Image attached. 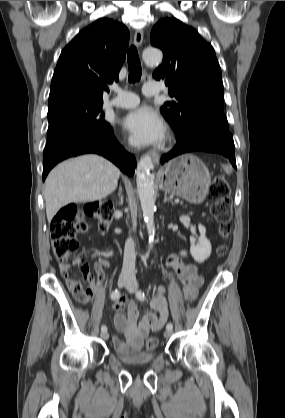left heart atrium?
Wrapping results in <instances>:
<instances>
[{"mask_svg": "<svg viewBox=\"0 0 285 418\" xmlns=\"http://www.w3.org/2000/svg\"><path fill=\"white\" fill-rule=\"evenodd\" d=\"M124 127L141 144L157 142L165 132L163 119L156 110L148 106L131 110L125 117Z\"/></svg>", "mask_w": 285, "mask_h": 418, "instance_id": "39dd6f15", "label": "left heart atrium"}]
</instances>
